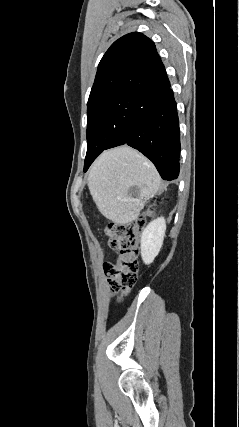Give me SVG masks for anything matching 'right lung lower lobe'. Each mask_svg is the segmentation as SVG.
Here are the masks:
<instances>
[{"label": "right lung lower lobe", "instance_id": "obj_1", "mask_svg": "<svg viewBox=\"0 0 239 427\" xmlns=\"http://www.w3.org/2000/svg\"><path fill=\"white\" fill-rule=\"evenodd\" d=\"M143 98L121 145L127 144L149 158L164 180H175L181 146L173 91L169 86Z\"/></svg>", "mask_w": 239, "mask_h": 427}]
</instances>
